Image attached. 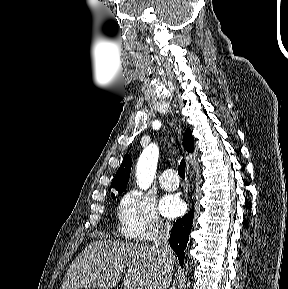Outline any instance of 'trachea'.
I'll return each mask as SVG.
<instances>
[{
  "label": "trachea",
  "instance_id": "1",
  "mask_svg": "<svg viewBox=\"0 0 288 289\" xmlns=\"http://www.w3.org/2000/svg\"><path fill=\"white\" fill-rule=\"evenodd\" d=\"M185 168H186V162L184 159H182L178 167V174L182 179L185 178Z\"/></svg>",
  "mask_w": 288,
  "mask_h": 289
}]
</instances>
